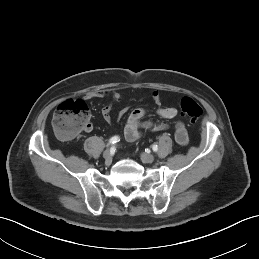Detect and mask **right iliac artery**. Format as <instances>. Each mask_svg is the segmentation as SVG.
<instances>
[{"label": "right iliac artery", "instance_id": "82829eb1", "mask_svg": "<svg viewBox=\"0 0 259 259\" xmlns=\"http://www.w3.org/2000/svg\"><path fill=\"white\" fill-rule=\"evenodd\" d=\"M119 140H120V139H119L118 136H114V137H112V138L109 140V143L107 144V146L110 145V144H115V143H117Z\"/></svg>", "mask_w": 259, "mask_h": 259}]
</instances>
